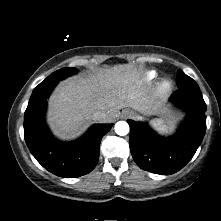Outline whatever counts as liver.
Segmentation results:
<instances>
[{
  "label": "liver",
  "instance_id": "liver-1",
  "mask_svg": "<svg viewBox=\"0 0 221 221\" xmlns=\"http://www.w3.org/2000/svg\"><path fill=\"white\" fill-rule=\"evenodd\" d=\"M125 107L141 113L160 109L141 72L129 64L61 82L50 96L47 121L54 135L73 140L95 121L94 112H104L106 118L101 122L109 123Z\"/></svg>",
  "mask_w": 221,
  "mask_h": 221
}]
</instances>
